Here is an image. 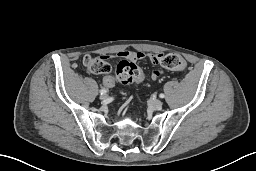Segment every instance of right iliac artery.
<instances>
[{
    "instance_id": "right-iliac-artery-1",
    "label": "right iliac artery",
    "mask_w": 256,
    "mask_h": 171,
    "mask_svg": "<svg viewBox=\"0 0 256 171\" xmlns=\"http://www.w3.org/2000/svg\"><path fill=\"white\" fill-rule=\"evenodd\" d=\"M106 92H107L106 89H101V90H100V94H105Z\"/></svg>"
}]
</instances>
